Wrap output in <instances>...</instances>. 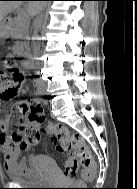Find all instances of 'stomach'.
Listing matches in <instances>:
<instances>
[{"instance_id": "1", "label": "stomach", "mask_w": 137, "mask_h": 189, "mask_svg": "<svg viewBox=\"0 0 137 189\" xmlns=\"http://www.w3.org/2000/svg\"><path fill=\"white\" fill-rule=\"evenodd\" d=\"M10 35V30L4 26L0 27V38H6Z\"/></svg>"}]
</instances>
